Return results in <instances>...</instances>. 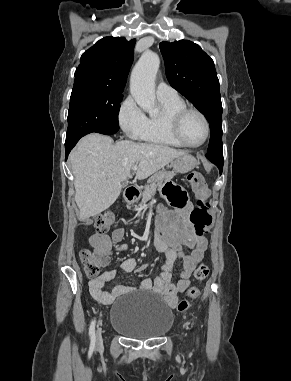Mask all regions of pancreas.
Instances as JSON below:
<instances>
[{
  "mask_svg": "<svg viewBox=\"0 0 291 381\" xmlns=\"http://www.w3.org/2000/svg\"><path fill=\"white\" fill-rule=\"evenodd\" d=\"M174 175V172L162 170L151 176L148 180V184L144 187L142 201L136 209L141 210L145 206L146 202H148L152 196L155 195L156 191L161 188L163 183L171 180Z\"/></svg>",
  "mask_w": 291,
  "mask_h": 381,
  "instance_id": "1",
  "label": "pancreas"
}]
</instances>
